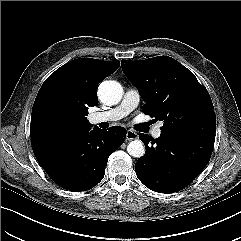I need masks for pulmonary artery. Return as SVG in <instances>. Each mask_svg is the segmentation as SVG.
<instances>
[{
    "instance_id": "obj_1",
    "label": "pulmonary artery",
    "mask_w": 241,
    "mask_h": 241,
    "mask_svg": "<svg viewBox=\"0 0 241 241\" xmlns=\"http://www.w3.org/2000/svg\"><path fill=\"white\" fill-rule=\"evenodd\" d=\"M140 95L135 89H128L121 103L109 110L95 112L90 115V122L93 124H98L101 122H113L126 117L130 112H132L139 104ZM161 126L157 125L152 130V136L158 138L161 135Z\"/></svg>"
}]
</instances>
